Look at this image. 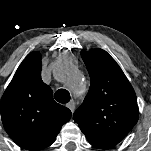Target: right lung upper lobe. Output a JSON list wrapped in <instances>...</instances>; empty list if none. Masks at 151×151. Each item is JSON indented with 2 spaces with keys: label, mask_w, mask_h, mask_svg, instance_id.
Returning a JSON list of instances; mask_svg holds the SVG:
<instances>
[{
  "label": "right lung upper lobe",
  "mask_w": 151,
  "mask_h": 151,
  "mask_svg": "<svg viewBox=\"0 0 151 151\" xmlns=\"http://www.w3.org/2000/svg\"><path fill=\"white\" fill-rule=\"evenodd\" d=\"M1 119L20 147L39 151L50 146L71 111L56 103L41 79V54L31 52L20 64L0 103Z\"/></svg>",
  "instance_id": "cb5924a9"
}]
</instances>
